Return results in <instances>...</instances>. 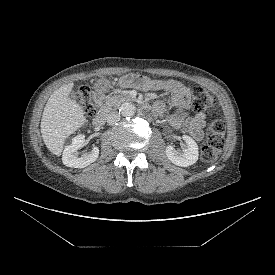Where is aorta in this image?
Instances as JSON below:
<instances>
[{"label": "aorta", "mask_w": 275, "mask_h": 275, "mask_svg": "<svg viewBox=\"0 0 275 275\" xmlns=\"http://www.w3.org/2000/svg\"><path fill=\"white\" fill-rule=\"evenodd\" d=\"M120 113L124 117L133 116L136 112V107L131 102H125L120 106Z\"/></svg>", "instance_id": "obj_1"}]
</instances>
